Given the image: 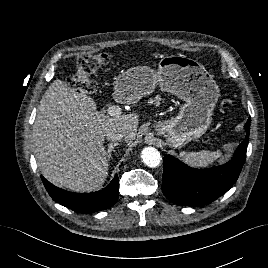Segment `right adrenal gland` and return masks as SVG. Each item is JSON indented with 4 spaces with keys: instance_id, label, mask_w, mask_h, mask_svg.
Segmentation results:
<instances>
[{
    "instance_id": "obj_1",
    "label": "right adrenal gland",
    "mask_w": 268,
    "mask_h": 268,
    "mask_svg": "<svg viewBox=\"0 0 268 268\" xmlns=\"http://www.w3.org/2000/svg\"><path fill=\"white\" fill-rule=\"evenodd\" d=\"M119 143H111L108 144V149L106 150V157L107 160L109 161L111 156H112V152L114 151V147L117 146Z\"/></svg>"
}]
</instances>
